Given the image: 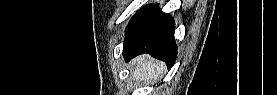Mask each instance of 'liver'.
<instances>
[{
    "label": "liver",
    "instance_id": "obj_1",
    "mask_svg": "<svg viewBox=\"0 0 277 95\" xmlns=\"http://www.w3.org/2000/svg\"><path fill=\"white\" fill-rule=\"evenodd\" d=\"M131 77L138 81H156L165 71V64L148 55H140L131 61Z\"/></svg>",
    "mask_w": 277,
    "mask_h": 95
}]
</instances>
